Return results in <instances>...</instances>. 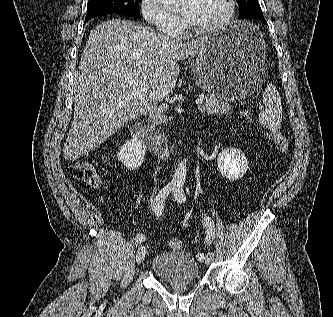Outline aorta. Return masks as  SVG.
<instances>
[{"mask_svg":"<svg viewBox=\"0 0 333 317\" xmlns=\"http://www.w3.org/2000/svg\"><path fill=\"white\" fill-rule=\"evenodd\" d=\"M162 4L166 6H178L184 2V0H160ZM187 167L186 161L183 160L178 164L172 182L177 185H183L186 179Z\"/></svg>","mask_w":333,"mask_h":317,"instance_id":"obj_1","label":"aorta"}]
</instances>
